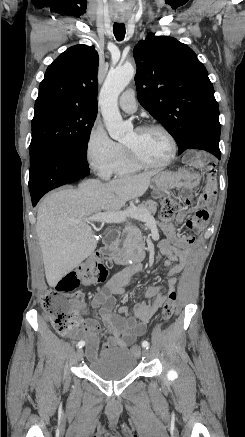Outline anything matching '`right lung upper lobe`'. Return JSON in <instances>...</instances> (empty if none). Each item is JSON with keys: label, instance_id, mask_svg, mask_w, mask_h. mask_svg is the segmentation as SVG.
<instances>
[{"label": "right lung upper lobe", "instance_id": "1", "mask_svg": "<svg viewBox=\"0 0 245 437\" xmlns=\"http://www.w3.org/2000/svg\"><path fill=\"white\" fill-rule=\"evenodd\" d=\"M99 57L93 46L75 45L48 66L35 107L62 104L97 111Z\"/></svg>", "mask_w": 245, "mask_h": 437}]
</instances>
